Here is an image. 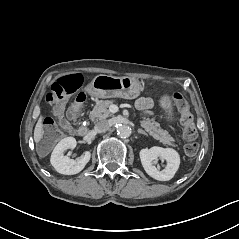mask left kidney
I'll list each match as a JSON object with an SVG mask.
<instances>
[{
  "label": "left kidney",
  "mask_w": 239,
  "mask_h": 239,
  "mask_svg": "<svg viewBox=\"0 0 239 239\" xmlns=\"http://www.w3.org/2000/svg\"><path fill=\"white\" fill-rule=\"evenodd\" d=\"M158 158L167 161L166 167L161 171L154 165ZM140 159L146 173L160 181L172 179L180 165V156L178 152L172 148L154 146L150 149H142L140 151Z\"/></svg>",
  "instance_id": "obj_1"
}]
</instances>
